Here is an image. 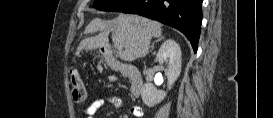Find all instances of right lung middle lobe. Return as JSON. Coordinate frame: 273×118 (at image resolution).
Returning <instances> with one entry per match:
<instances>
[{"mask_svg":"<svg viewBox=\"0 0 273 118\" xmlns=\"http://www.w3.org/2000/svg\"><path fill=\"white\" fill-rule=\"evenodd\" d=\"M131 0H95L93 7L107 12L118 11L126 4H128Z\"/></svg>","mask_w":273,"mask_h":118,"instance_id":"obj_1","label":"right lung middle lobe"}]
</instances>
